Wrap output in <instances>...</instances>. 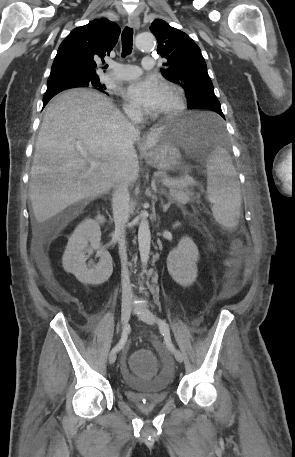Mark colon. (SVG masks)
<instances>
[{"mask_svg":"<svg viewBox=\"0 0 295 457\" xmlns=\"http://www.w3.org/2000/svg\"><path fill=\"white\" fill-rule=\"evenodd\" d=\"M247 243L248 237L245 233H241L233 240L232 257L227 262L231 272L237 269ZM132 360H137V363L133 365V370L137 372L138 378H153L154 372L158 370L154 353L149 350L148 346H137L136 350L132 351Z\"/></svg>","mask_w":295,"mask_h":457,"instance_id":"5ec220e1","label":"colon"}]
</instances>
